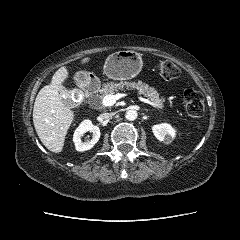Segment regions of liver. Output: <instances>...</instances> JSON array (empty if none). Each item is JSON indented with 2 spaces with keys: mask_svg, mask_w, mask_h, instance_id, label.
Returning a JSON list of instances; mask_svg holds the SVG:
<instances>
[{
  "mask_svg": "<svg viewBox=\"0 0 240 240\" xmlns=\"http://www.w3.org/2000/svg\"><path fill=\"white\" fill-rule=\"evenodd\" d=\"M90 60L91 58L86 57L80 63L86 64ZM68 75L66 67L59 68L51 83L39 91L33 108L36 133L43 145L54 153L62 151L67 131L74 120L73 111L63 103L59 94Z\"/></svg>",
  "mask_w": 240,
  "mask_h": 240,
  "instance_id": "liver-1",
  "label": "liver"
}]
</instances>
